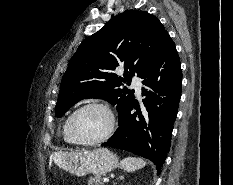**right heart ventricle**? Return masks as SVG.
Returning a JSON list of instances; mask_svg holds the SVG:
<instances>
[{
    "mask_svg": "<svg viewBox=\"0 0 233 185\" xmlns=\"http://www.w3.org/2000/svg\"><path fill=\"white\" fill-rule=\"evenodd\" d=\"M69 116L70 115H68L66 117V119L64 120V123H63V128H62L63 139L68 144H75V142L70 138V136L68 134V130H67V122H68Z\"/></svg>",
    "mask_w": 233,
    "mask_h": 185,
    "instance_id": "e07e8e85",
    "label": "right heart ventricle"
}]
</instances>
